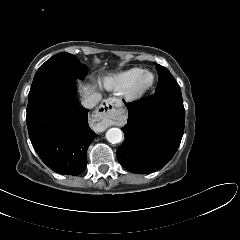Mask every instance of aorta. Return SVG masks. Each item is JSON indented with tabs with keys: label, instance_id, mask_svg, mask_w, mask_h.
I'll return each mask as SVG.
<instances>
[{
	"label": "aorta",
	"instance_id": "1",
	"mask_svg": "<svg viewBox=\"0 0 240 240\" xmlns=\"http://www.w3.org/2000/svg\"><path fill=\"white\" fill-rule=\"evenodd\" d=\"M106 139L112 144L120 143L123 139V133L119 128H110L106 132Z\"/></svg>",
	"mask_w": 240,
	"mask_h": 240
}]
</instances>
